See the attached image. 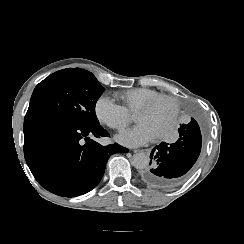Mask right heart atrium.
Instances as JSON below:
<instances>
[{
    "label": "right heart atrium",
    "mask_w": 244,
    "mask_h": 244,
    "mask_svg": "<svg viewBox=\"0 0 244 244\" xmlns=\"http://www.w3.org/2000/svg\"><path fill=\"white\" fill-rule=\"evenodd\" d=\"M94 111L97 119L118 132H123L127 126L134 122L130 111L117 104L111 96L101 95L95 102Z\"/></svg>",
    "instance_id": "obj_1"
}]
</instances>
